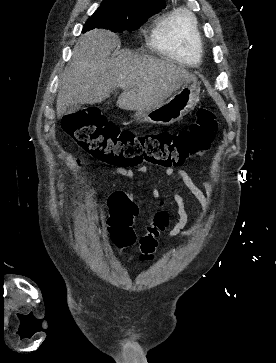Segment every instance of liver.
<instances>
[{"label":"liver","mask_w":276,"mask_h":363,"mask_svg":"<svg viewBox=\"0 0 276 363\" xmlns=\"http://www.w3.org/2000/svg\"><path fill=\"white\" fill-rule=\"evenodd\" d=\"M119 44L117 35L102 29L79 37L59 80L58 118L68 106L100 103L116 88L123 89L117 100L119 108L147 110L196 80L184 67L154 57L131 51L110 57Z\"/></svg>","instance_id":"6515ba94"}]
</instances>
